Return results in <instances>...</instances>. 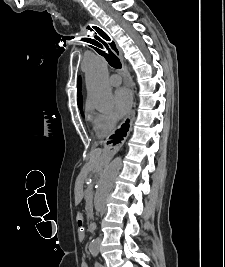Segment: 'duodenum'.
I'll return each instance as SVG.
<instances>
[{
	"label": "duodenum",
	"instance_id": "duodenum-1",
	"mask_svg": "<svg viewBox=\"0 0 225 267\" xmlns=\"http://www.w3.org/2000/svg\"><path fill=\"white\" fill-rule=\"evenodd\" d=\"M90 228H91L92 230H94V229L96 228V224H95V223H91V224H90Z\"/></svg>",
	"mask_w": 225,
	"mask_h": 267
}]
</instances>
